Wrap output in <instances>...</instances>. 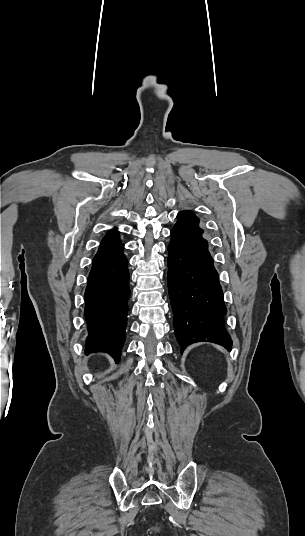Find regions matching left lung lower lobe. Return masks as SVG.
Returning <instances> with one entry per match:
<instances>
[{
  "label": "left lung lower lobe",
  "instance_id": "1",
  "mask_svg": "<svg viewBox=\"0 0 305 536\" xmlns=\"http://www.w3.org/2000/svg\"><path fill=\"white\" fill-rule=\"evenodd\" d=\"M168 251V290L181 352L202 341L230 350L223 319L227 309L207 241L173 228Z\"/></svg>",
  "mask_w": 305,
  "mask_h": 536
}]
</instances>
